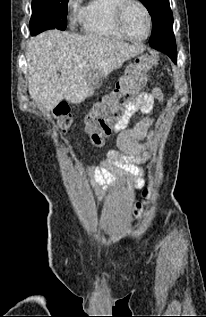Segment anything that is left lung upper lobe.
<instances>
[{
	"label": "left lung upper lobe",
	"instance_id": "5c2ea615",
	"mask_svg": "<svg viewBox=\"0 0 206 317\" xmlns=\"http://www.w3.org/2000/svg\"><path fill=\"white\" fill-rule=\"evenodd\" d=\"M152 16L153 30L150 45L175 44L173 34V15L169 0H140Z\"/></svg>",
	"mask_w": 206,
	"mask_h": 317
}]
</instances>
